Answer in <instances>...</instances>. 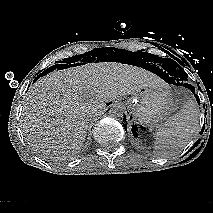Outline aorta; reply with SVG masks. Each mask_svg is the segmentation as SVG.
I'll list each match as a JSON object with an SVG mask.
<instances>
[{
    "instance_id": "aorta-1",
    "label": "aorta",
    "mask_w": 213,
    "mask_h": 213,
    "mask_svg": "<svg viewBox=\"0 0 213 213\" xmlns=\"http://www.w3.org/2000/svg\"><path fill=\"white\" fill-rule=\"evenodd\" d=\"M125 113V108L120 103H115L109 110V115L114 119H121L123 118Z\"/></svg>"
}]
</instances>
